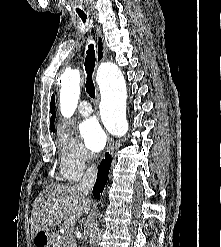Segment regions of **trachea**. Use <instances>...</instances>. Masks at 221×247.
Returning <instances> with one entry per match:
<instances>
[{"label":"trachea","instance_id":"obj_1","mask_svg":"<svg viewBox=\"0 0 221 247\" xmlns=\"http://www.w3.org/2000/svg\"><path fill=\"white\" fill-rule=\"evenodd\" d=\"M79 17L81 18L83 23L86 22V19H87L86 15L79 14ZM86 53L87 55H86L85 63H84L85 71L87 74L85 88H86V92L88 93V95L91 98H95V86H94L93 79H92V74L94 72V67H95V50H94L93 44H90L88 46V50Z\"/></svg>","mask_w":221,"mask_h":247}]
</instances>
